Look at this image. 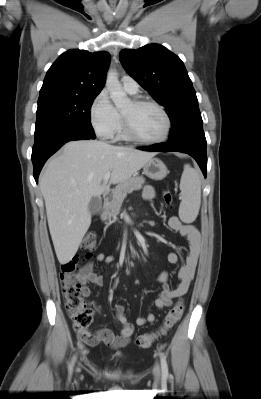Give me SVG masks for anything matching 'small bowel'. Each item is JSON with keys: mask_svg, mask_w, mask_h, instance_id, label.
Listing matches in <instances>:
<instances>
[{"mask_svg": "<svg viewBox=\"0 0 261 399\" xmlns=\"http://www.w3.org/2000/svg\"><path fill=\"white\" fill-rule=\"evenodd\" d=\"M155 197V190L151 186H145L142 189V198L146 201L153 200ZM169 227L179 232L187 240L188 253L184 260V265L180 268L178 273L179 284L176 288H171L168 285V274L163 272L159 276V281L163 285V289L159 297L154 301V305L158 309H163L172 305L173 299L183 296L187 293L189 286L194 278L195 270L197 267L200 251H201V237L197 228L188 223H183L178 216H171L168 220ZM95 260L97 262H103L105 264H111L115 261V257L100 252L96 255ZM168 261L171 264H176L180 261V256L177 253H170L168 255ZM76 279L81 285V293L83 296L88 297L91 294L89 284L102 286L103 277L96 273L93 268V262L85 264L76 274ZM114 313L117 321L122 325L121 330L118 333H114L112 330L102 328L97 330L95 333L89 332L88 339L83 340L89 346H97L101 343L112 347L113 349H119L126 346L129 339L134 331V324L129 321L125 307L122 304H116L114 306ZM155 320L153 313L148 314L145 317H139L136 320L138 326L151 323Z\"/></svg>", "mask_w": 261, "mask_h": 399, "instance_id": "obj_1", "label": "small bowel"}]
</instances>
